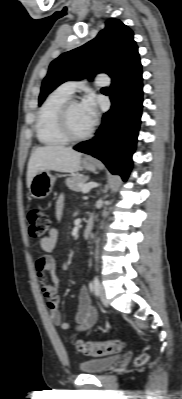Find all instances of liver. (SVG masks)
I'll return each instance as SVG.
<instances>
[{"label": "liver", "mask_w": 182, "mask_h": 399, "mask_svg": "<svg viewBox=\"0 0 182 399\" xmlns=\"http://www.w3.org/2000/svg\"><path fill=\"white\" fill-rule=\"evenodd\" d=\"M82 153L63 146L38 147L30 156L27 169V187L33 177L45 170L76 173L80 169Z\"/></svg>", "instance_id": "1"}]
</instances>
